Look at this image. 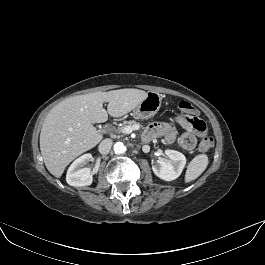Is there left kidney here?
<instances>
[{
	"instance_id": "obj_1",
	"label": "left kidney",
	"mask_w": 265,
	"mask_h": 265,
	"mask_svg": "<svg viewBox=\"0 0 265 265\" xmlns=\"http://www.w3.org/2000/svg\"><path fill=\"white\" fill-rule=\"evenodd\" d=\"M165 158H159L152 166L154 174L162 180L172 181L177 179L186 164L185 156L175 150H165Z\"/></svg>"
}]
</instances>
